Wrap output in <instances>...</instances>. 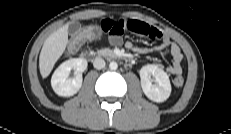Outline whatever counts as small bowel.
<instances>
[{"label":"small bowel","instance_id":"obj_1","mask_svg":"<svg viewBox=\"0 0 231 134\" xmlns=\"http://www.w3.org/2000/svg\"><path fill=\"white\" fill-rule=\"evenodd\" d=\"M99 26L103 33L108 34L109 42L116 46L122 43V35L126 30L139 36L158 40L160 44L157 50L162 51L169 48L172 56V63L167 67V72L171 75H180L182 73L183 54L179 45L164 35L158 28L138 19L124 18H106L100 22Z\"/></svg>","mask_w":231,"mask_h":134}]
</instances>
